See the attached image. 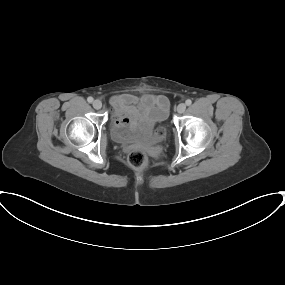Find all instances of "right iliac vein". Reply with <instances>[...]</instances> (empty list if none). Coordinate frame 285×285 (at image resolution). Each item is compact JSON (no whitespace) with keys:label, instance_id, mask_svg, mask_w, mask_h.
<instances>
[{"label":"right iliac vein","instance_id":"obj_1","mask_svg":"<svg viewBox=\"0 0 285 285\" xmlns=\"http://www.w3.org/2000/svg\"><path fill=\"white\" fill-rule=\"evenodd\" d=\"M93 107L97 110L101 109L102 107V102L99 99L94 100L93 102Z\"/></svg>","mask_w":285,"mask_h":285}]
</instances>
